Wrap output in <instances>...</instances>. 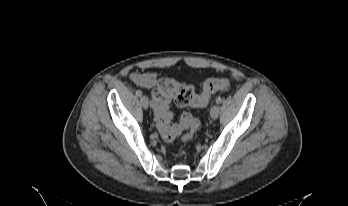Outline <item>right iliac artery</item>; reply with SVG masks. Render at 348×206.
<instances>
[{"label": "right iliac artery", "mask_w": 348, "mask_h": 206, "mask_svg": "<svg viewBox=\"0 0 348 206\" xmlns=\"http://www.w3.org/2000/svg\"><path fill=\"white\" fill-rule=\"evenodd\" d=\"M136 95H137V96H141V95H142V91H141V90H137V91H136Z\"/></svg>", "instance_id": "right-iliac-artery-1"}]
</instances>
